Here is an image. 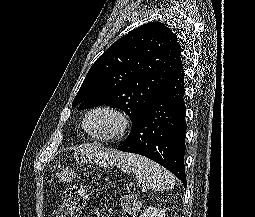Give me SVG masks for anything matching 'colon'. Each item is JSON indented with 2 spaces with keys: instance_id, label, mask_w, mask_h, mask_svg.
<instances>
[{
  "instance_id": "obj_1",
  "label": "colon",
  "mask_w": 255,
  "mask_h": 217,
  "mask_svg": "<svg viewBox=\"0 0 255 217\" xmlns=\"http://www.w3.org/2000/svg\"><path fill=\"white\" fill-rule=\"evenodd\" d=\"M87 199V191L83 188L66 189L61 203L53 211V217H76V213L84 208ZM121 207L127 217H135L140 208L138 197L134 194L124 195Z\"/></svg>"
}]
</instances>
